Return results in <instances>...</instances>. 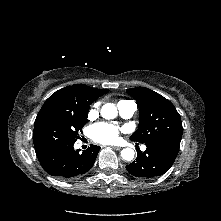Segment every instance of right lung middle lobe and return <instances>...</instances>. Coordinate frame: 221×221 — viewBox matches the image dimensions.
<instances>
[{
	"label": "right lung middle lobe",
	"instance_id": "dd1d6c3e",
	"mask_svg": "<svg viewBox=\"0 0 221 221\" xmlns=\"http://www.w3.org/2000/svg\"><path fill=\"white\" fill-rule=\"evenodd\" d=\"M88 107L68 109L61 101H46L39 111L34 126L35 152L56 145H70L79 138L87 123Z\"/></svg>",
	"mask_w": 221,
	"mask_h": 221
}]
</instances>
